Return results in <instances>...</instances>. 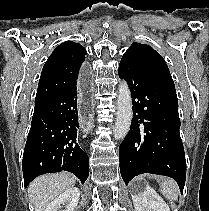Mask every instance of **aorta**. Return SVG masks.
I'll return each mask as SVG.
<instances>
[{
	"mask_svg": "<svg viewBox=\"0 0 209 211\" xmlns=\"http://www.w3.org/2000/svg\"><path fill=\"white\" fill-rule=\"evenodd\" d=\"M133 117L131 92L126 81L118 86L117 117L114 127V138L123 139L129 132Z\"/></svg>",
	"mask_w": 209,
	"mask_h": 211,
	"instance_id": "obj_1",
	"label": "aorta"
}]
</instances>
